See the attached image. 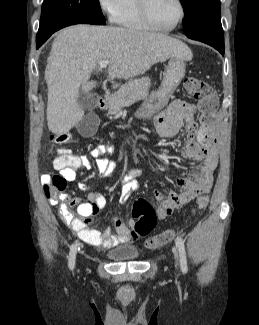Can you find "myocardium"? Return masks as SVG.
Returning <instances> with one entry per match:
<instances>
[{
    "label": "myocardium",
    "instance_id": "myocardium-1",
    "mask_svg": "<svg viewBox=\"0 0 259 325\" xmlns=\"http://www.w3.org/2000/svg\"><path fill=\"white\" fill-rule=\"evenodd\" d=\"M149 2H150V0H138L139 11H140L141 17H142L143 21L145 22V24L148 26V28H150L152 30L160 31V32H171V31L175 30L182 23V21L185 18V5L182 0H176L177 4L179 6V11H180L178 19L170 27H160L153 22V20L150 16Z\"/></svg>",
    "mask_w": 259,
    "mask_h": 325
}]
</instances>
